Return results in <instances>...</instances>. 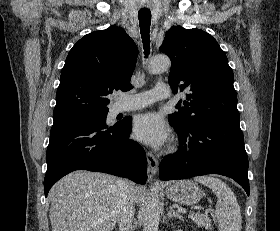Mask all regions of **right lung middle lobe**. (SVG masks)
Masks as SVG:
<instances>
[{"instance_id": "right-lung-middle-lobe-1", "label": "right lung middle lobe", "mask_w": 280, "mask_h": 231, "mask_svg": "<svg viewBox=\"0 0 280 231\" xmlns=\"http://www.w3.org/2000/svg\"><path fill=\"white\" fill-rule=\"evenodd\" d=\"M106 117H107V113L98 115V116H94V117L77 120L72 123H85V124L92 125V126L108 128V126L106 125ZM115 126H117V125H115Z\"/></svg>"}]
</instances>
